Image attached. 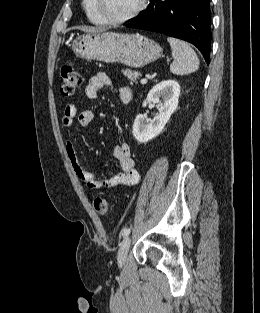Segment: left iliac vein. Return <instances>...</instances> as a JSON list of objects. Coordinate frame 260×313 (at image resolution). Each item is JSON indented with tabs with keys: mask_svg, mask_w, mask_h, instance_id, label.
Segmentation results:
<instances>
[{
	"mask_svg": "<svg viewBox=\"0 0 260 313\" xmlns=\"http://www.w3.org/2000/svg\"><path fill=\"white\" fill-rule=\"evenodd\" d=\"M130 244H131V239L130 237H126L120 248H119V251H118V256H117V260H118V264L119 265H123L126 261V258H127V254H128V251H129V248H130Z\"/></svg>",
	"mask_w": 260,
	"mask_h": 313,
	"instance_id": "1",
	"label": "left iliac vein"
}]
</instances>
